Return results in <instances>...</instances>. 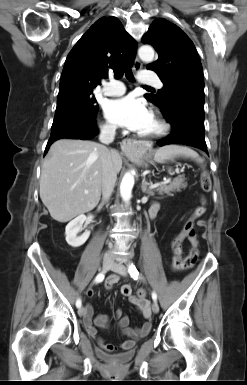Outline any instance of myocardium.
Masks as SVG:
<instances>
[{
	"label": "myocardium",
	"instance_id": "f54148a6",
	"mask_svg": "<svg viewBox=\"0 0 247 385\" xmlns=\"http://www.w3.org/2000/svg\"><path fill=\"white\" fill-rule=\"evenodd\" d=\"M152 117L155 119L156 123H157V129L151 133H147V134H139V136L141 138H146V139H155V138H159V137H162V136H165L169 129H170V126L168 124V122L163 118V116L158 112V111H154L152 113Z\"/></svg>",
	"mask_w": 247,
	"mask_h": 385
}]
</instances>
